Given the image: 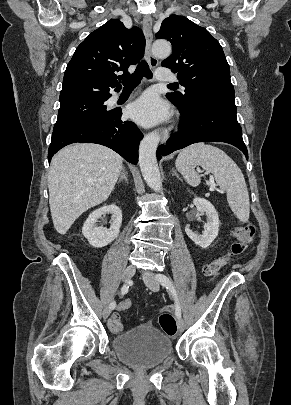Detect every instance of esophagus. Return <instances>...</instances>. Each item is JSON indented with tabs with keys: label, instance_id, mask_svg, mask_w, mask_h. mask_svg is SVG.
Masks as SVG:
<instances>
[{
	"label": "esophagus",
	"instance_id": "1",
	"mask_svg": "<svg viewBox=\"0 0 291 405\" xmlns=\"http://www.w3.org/2000/svg\"><path fill=\"white\" fill-rule=\"evenodd\" d=\"M143 30L146 37V54L148 58V62L151 68L155 69L159 61L158 59L152 54L151 44L153 41V33H152V19L150 16H145L143 18ZM169 137V130L167 128L161 129V139L162 142H166Z\"/></svg>",
	"mask_w": 291,
	"mask_h": 405
}]
</instances>
